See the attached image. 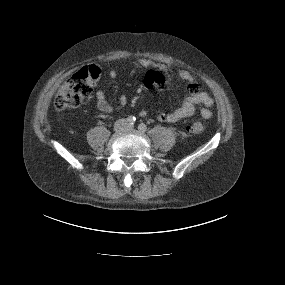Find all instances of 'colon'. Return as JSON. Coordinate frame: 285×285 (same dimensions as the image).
Here are the masks:
<instances>
[{
  "label": "colon",
  "mask_w": 285,
  "mask_h": 285,
  "mask_svg": "<svg viewBox=\"0 0 285 285\" xmlns=\"http://www.w3.org/2000/svg\"><path fill=\"white\" fill-rule=\"evenodd\" d=\"M100 76V69L96 65H86L80 68L59 89L54 99V106L58 110L78 107L92 91L95 81ZM204 130L203 124L194 122L187 126L188 133L197 134Z\"/></svg>",
  "instance_id": "colon-1"
}]
</instances>
